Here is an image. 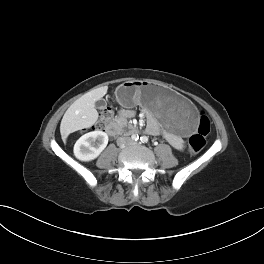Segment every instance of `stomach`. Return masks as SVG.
Wrapping results in <instances>:
<instances>
[{"label": "stomach", "mask_w": 264, "mask_h": 264, "mask_svg": "<svg viewBox=\"0 0 264 264\" xmlns=\"http://www.w3.org/2000/svg\"><path fill=\"white\" fill-rule=\"evenodd\" d=\"M124 106L139 105L157 119L165 130L178 136H192L198 121L194 107L175 91L148 80L126 81L118 87Z\"/></svg>", "instance_id": "stomach-1"}]
</instances>
